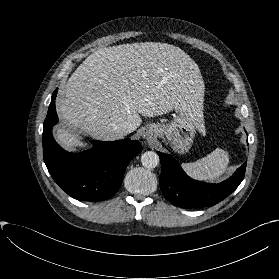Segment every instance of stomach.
Here are the masks:
<instances>
[{
  "label": "stomach",
  "instance_id": "0dacf381",
  "mask_svg": "<svg viewBox=\"0 0 279 279\" xmlns=\"http://www.w3.org/2000/svg\"><path fill=\"white\" fill-rule=\"evenodd\" d=\"M202 125V111L197 112L189 105H181L171 120L152 124L150 127L153 128L154 135L168 140L173 150L183 154L191 148Z\"/></svg>",
  "mask_w": 279,
  "mask_h": 279
}]
</instances>
